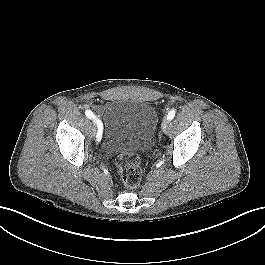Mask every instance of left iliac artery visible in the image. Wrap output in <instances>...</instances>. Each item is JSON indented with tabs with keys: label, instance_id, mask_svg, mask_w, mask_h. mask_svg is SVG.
<instances>
[{
	"label": "left iliac artery",
	"instance_id": "left-iliac-artery-1",
	"mask_svg": "<svg viewBox=\"0 0 265 265\" xmlns=\"http://www.w3.org/2000/svg\"><path fill=\"white\" fill-rule=\"evenodd\" d=\"M175 114H176L175 109L170 110L168 115H167V119L172 120L174 118Z\"/></svg>",
	"mask_w": 265,
	"mask_h": 265
}]
</instances>
